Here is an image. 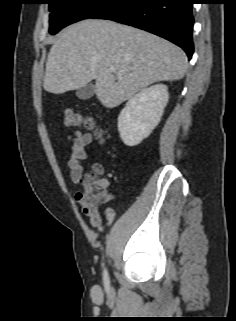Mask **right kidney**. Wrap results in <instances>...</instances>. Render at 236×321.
Wrapping results in <instances>:
<instances>
[{
	"mask_svg": "<svg viewBox=\"0 0 236 321\" xmlns=\"http://www.w3.org/2000/svg\"><path fill=\"white\" fill-rule=\"evenodd\" d=\"M168 98V87L157 84L128 100L118 117V131L125 145H138L150 135L160 122Z\"/></svg>",
	"mask_w": 236,
	"mask_h": 321,
	"instance_id": "1",
	"label": "right kidney"
}]
</instances>
